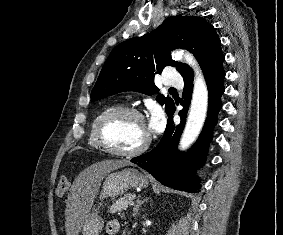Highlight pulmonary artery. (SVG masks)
<instances>
[{"instance_id":"pulmonary-artery-1","label":"pulmonary artery","mask_w":283,"mask_h":235,"mask_svg":"<svg viewBox=\"0 0 283 235\" xmlns=\"http://www.w3.org/2000/svg\"><path fill=\"white\" fill-rule=\"evenodd\" d=\"M164 84L172 87H181L183 81L177 72L171 71L170 73L167 74Z\"/></svg>"}]
</instances>
